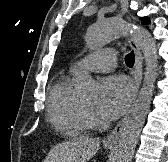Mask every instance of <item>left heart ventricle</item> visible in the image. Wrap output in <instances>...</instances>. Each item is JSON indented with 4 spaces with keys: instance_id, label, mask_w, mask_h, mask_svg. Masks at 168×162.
I'll use <instances>...</instances> for the list:
<instances>
[{
    "instance_id": "left-heart-ventricle-1",
    "label": "left heart ventricle",
    "mask_w": 168,
    "mask_h": 162,
    "mask_svg": "<svg viewBox=\"0 0 168 162\" xmlns=\"http://www.w3.org/2000/svg\"><path fill=\"white\" fill-rule=\"evenodd\" d=\"M94 102L87 103L88 106H92Z\"/></svg>"
}]
</instances>
